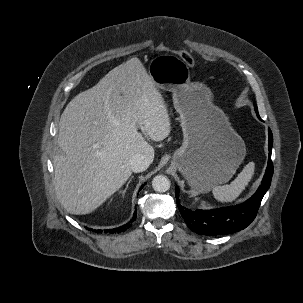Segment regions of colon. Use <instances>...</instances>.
Here are the masks:
<instances>
[{
    "mask_svg": "<svg viewBox=\"0 0 303 303\" xmlns=\"http://www.w3.org/2000/svg\"><path fill=\"white\" fill-rule=\"evenodd\" d=\"M156 50L158 52H168L170 51V48L161 43L156 47ZM176 54L184 61V63L186 65H188L189 67H194L195 66V60L193 59V57L187 52V51H183V50H178L176 51Z\"/></svg>",
    "mask_w": 303,
    "mask_h": 303,
    "instance_id": "1",
    "label": "colon"
}]
</instances>
